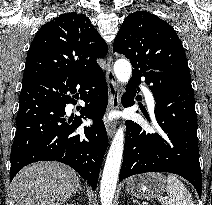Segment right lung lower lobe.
<instances>
[{
    "mask_svg": "<svg viewBox=\"0 0 212 205\" xmlns=\"http://www.w3.org/2000/svg\"><path fill=\"white\" fill-rule=\"evenodd\" d=\"M79 95L85 107L81 108L80 116H73L74 121L67 123L66 104H76ZM107 103L108 90L102 70L24 84L11 150L10 181L30 163L59 161L75 169L95 190L108 144L102 123ZM82 117L92 119L93 127H85L78 134Z\"/></svg>",
    "mask_w": 212,
    "mask_h": 205,
    "instance_id": "right-lung-lower-lobe-1",
    "label": "right lung lower lobe"
}]
</instances>
